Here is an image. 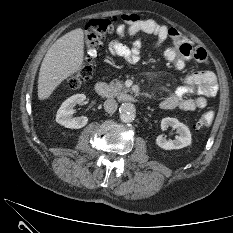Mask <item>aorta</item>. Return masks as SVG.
<instances>
[{
	"label": "aorta",
	"mask_w": 233,
	"mask_h": 233,
	"mask_svg": "<svg viewBox=\"0 0 233 233\" xmlns=\"http://www.w3.org/2000/svg\"><path fill=\"white\" fill-rule=\"evenodd\" d=\"M120 119L124 123H130L134 121L136 117V108L131 102H124L120 106Z\"/></svg>",
	"instance_id": "obj_1"
}]
</instances>
